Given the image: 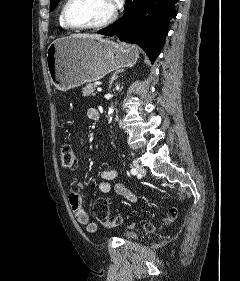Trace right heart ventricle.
I'll return each mask as SVG.
<instances>
[{
	"mask_svg": "<svg viewBox=\"0 0 240 281\" xmlns=\"http://www.w3.org/2000/svg\"><path fill=\"white\" fill-rule=\"evenodd\" d=\"M59 24H60V26H61L62 28H64V29H69V28L65 25V23L63 22L62 14H61V13H60V16H59Z\"/></svg>",
	"mask_w": 240,
	"mask_h": 281,
	"instance_id": "1",
	"label": "right heart ventricle"
}]
</instances>
